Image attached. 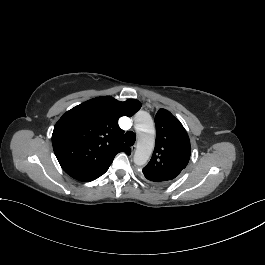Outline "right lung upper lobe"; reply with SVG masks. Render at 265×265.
Segmentation results:
<instances>
[{"label":"right lung upper lobe","instance_id":"1","mask_svg":"<svg viewBox=\"0 0 265 265\" xmlns=\"http://www.w3.org/2000/svg\"><path fill=\"white\" fill-rule=\"evenodd\" d=\"M140 108L141 103L135 99L121 102L103 96L67 111L52 134L53 149L63 170L79 181L89 182L108 170L117 153L130 155L118 119L130 117Z\"/></svg>","mask_w":265,"mask_h":265}]
</instances>
